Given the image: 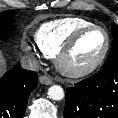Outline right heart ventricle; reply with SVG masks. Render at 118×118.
Wrapping results in <instances>:
<instances>
[{
	"label": "right heart ventricle",
	"instance_id": "e07e8e85",
	"mask_svg": "<svg viewBox=\"0 0 118 118\" xmlns=\"http://www.w3.org/2000/svg\"><path fill=\"white\" fill-rule=\"evenodd\" d=\"M92 24L82 17L53 20L40 26L35 33V42L45 57L54 58L77 30Z\"/></svg>",
	"mask_w": 118,
	"mask_h": 118
}]
</instances>
